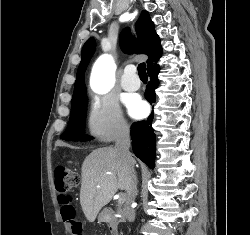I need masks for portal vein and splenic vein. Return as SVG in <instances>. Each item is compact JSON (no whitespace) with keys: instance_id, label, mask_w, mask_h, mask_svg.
<instances>
[{"instance_id":"1","label":"portal vein and splenic vein","mask_w":250,"mask_h":235,"mask_svg":"<svg viewBox=\"0 0 250 235\" xmlns=\"http://www.w3.org/2000/svg\"><path fill=\"white\" fill-rule=\"evenodd\" d=\"M122 201H124L123 195H121L120 198H119V202H122Z\"/></svg>"}]
</instances>
